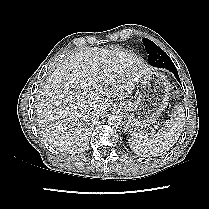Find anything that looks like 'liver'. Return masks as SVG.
<instances>
[{
    "label": "liver",
    "instance_id": "liver-1",
    "mask_svg": "<svg viewBox=\"0 0 209 209\" xmlns=\"http://www.w3.org/2000/svg\"><path fill=\"white\" fill-rule=\"evenodd\" d=\"M150 72L136 56L119 49L87 48L62 62L43 87L38 125L57 150L81 153L89 126L113 101L125 99Z\"/></svg>",
    "mask_w": 209,
    "mask_h": 209
}]
</instances>
